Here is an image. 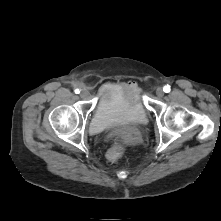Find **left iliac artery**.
<instances>
[{"label":"left iliac artery","mask_w":221,"mask_h":221,"mask_svg":"<svg viewBox=\"0 0 221 221\" xmlns=\"http://www.w3.org/2000/svg\"><path fill=\"white\" fill-rule=\"evenodd\" d=\"M163 91L166 92V93L170 92V86L165 85L164 88H163Z\"/></svg>","instance_id":"obj_1"}]
</instances>
